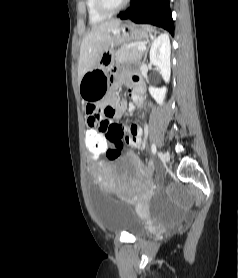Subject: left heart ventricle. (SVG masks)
<instances>
[{
    "instance_id": "obj_1",
    "label": "left heart ventricle",
    "mask_w": 238,
    "mask_h": 278,
    "mask_svg": "<svg viewBox=\"0 0 238 278\" xmlns=\"http://www.w3.org/2000/svg\"><path fill=\"white\" fill-rule=\"evenodd\" d=\"M111 6L119 5L123 0H107Z\"/></svg>"
}]
</instances>
